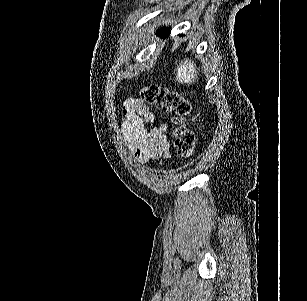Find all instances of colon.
<instances>
[{
	"instance_id": "obj_1",
	"label": "colon",
	"mask_w": 307,
	"mask_h": 301,
	"mask_svg": "<svg viewBox=\"0 0 307 301\" xmlns=\"http://www.w3.org/2000/svg\"><path fill=\"white\" fill-rule=\"evenodd\" d=\"M140 97L169 114L175 151L180 158H189L195 149L194 134L185 124L190 112L189 101L178 92L154 84L141 87Z\"/></svg>"
}]
</instances>
